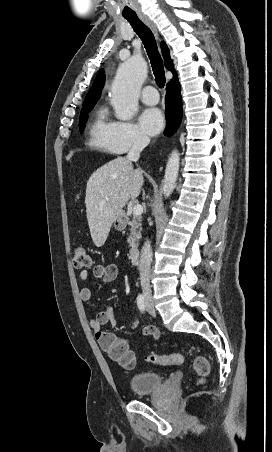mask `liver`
Returning <instances> with one entry per match:
<instances>
[{"label":"liver","instance_id":"liver-1","mask_svg":"<svg viewBox=\"0 0 272 452\" xmlns=\"http://www.w3.org/2000/svg\"><path fill=\"white\" fill-rule=\"evenodd\" d=\"M142 172L125 157L106 163L90 176L86 187V213L90 234L97 247L104 245L116 216L143 186Z\"/></svg>","mask_w":272,"mask_h":452}]
</instances>
